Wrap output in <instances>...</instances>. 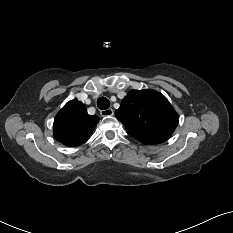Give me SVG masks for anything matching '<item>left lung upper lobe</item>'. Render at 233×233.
<instances>
[{
    "mask_svg": "<svg viewBox=\"0 0 233 233\" xmlns=\"http://www.w3.org/2000/svg\"><path fill=\"white\" fill-rule=\"evenodd\" d=\"M115 115L129 135L147 145L167 140L179 121L169 101L149 89L130 91Z\"/></svg>",
    "mask_w": 233,
    "mask_h": 233,
    "instance_id": "obj_1",
    "label": "left lung upper lobe"
}]
</instances>
